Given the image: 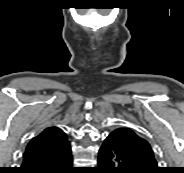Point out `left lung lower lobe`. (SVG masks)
<instances>
[{"instance_id": "1", "label": "left lung lower lobe", "mask_w": 184, "mask_h": 173, "mask_svg": "<svg viewBox=\"0 0 184 173\" xmlns=\"http://www.w3.org/2000/svg\"><path fill=\"white\" fill-rule=\"evenodd\" d=\"M99 173H147L139 168L119 143V133L112 132L103 141L98 156Z\"/></svg>"}]
</instances>
